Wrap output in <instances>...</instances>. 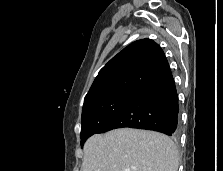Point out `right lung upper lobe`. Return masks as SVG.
<instances>
[{"instance_id": "1", "label": "right lung upper lobe", "mask_w": 223, "mask_h": 171, "mask_svg": "<svg viewBox=\"0 0 223 171\" xmlns=\"http://www.w3.org/2000/svg\"><path fill=\"white\" fill-rule=\"evenodd\" d=\"M169 73L164 52L153 40L135 41L100 70L85 96L84 105L110 94H139Z\"/></svg>"}]
</instances>
